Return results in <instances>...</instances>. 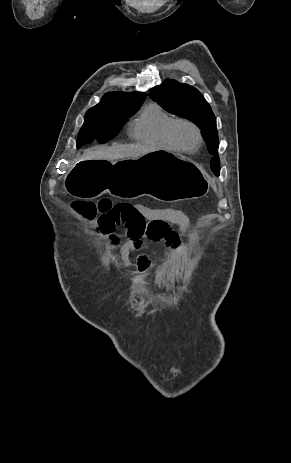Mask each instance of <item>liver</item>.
I'll return each mask as SVG.
<instances>
[{"instance_id":"1","label":"liver","mask_w":291,"mask_h":463,"mask_svg":"<svg viewBox=\"0 0 291 463\" xmlns=\"http://www.w3.org/2000/svg\"><path fill=\"white\" fill-rule=\"evenodd\" d=\"M152 151H155L153 147L139 144L91 148L81 156L80 161L107 160L114 162L126 158H138Z\"/></svg>"}]
</instances>
